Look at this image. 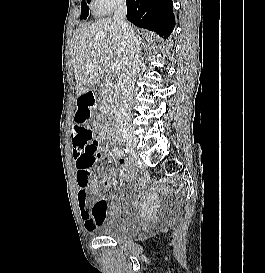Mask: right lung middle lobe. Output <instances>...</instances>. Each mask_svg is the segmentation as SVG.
I'll list each match as a JSON object with an SVG mask.
<instances>
[{
  "instance_id": "obj_1",
  "label": "right lung middle lobe",
  "mask_w": 265,
  "mask_h": 273,
  "mask_svg": "<svg viewBox=\"0 0 265 273\" xmlns=\"http://www.w3.org/2000/svg\"><path fill=\"white\" fill-rule=\"evenodd\" d=\"M91 0H82L81 3V19H86L88 14H89V10H88V6L87 3H89Z\"/></svg>"
}]
</instances>
